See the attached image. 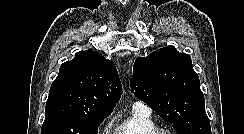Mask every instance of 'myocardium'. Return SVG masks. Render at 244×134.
I'll return each instance as SVG.
<instances>
[{"label":"myocardium","mask_w":244,"mask_h":134,"mask_svg":"<svg viewBox=\"0 0 244 134\" xmlns=\"http://www.w3.org/2000/svg\"><path fill=\"white\" fill-rule=\"evenodd\" d=\"M155 134H176L170 130L167 129H158Z\"/></svg>","instance_id":"f54148a6"}]
</instances>
